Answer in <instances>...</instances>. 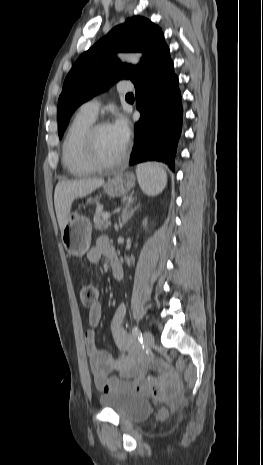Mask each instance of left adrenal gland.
Instances as JSON below:
<instances>
[{
    "label": "left adrenal gland",
    "mask_w": 263,
    "mask_h": 465,
    "mask_svg": "<svg viewBox=\"0 0 263 465\" xmlns=\"http://www.w3.org/2000/svg\"><path fill=\"white\" fill-rule=\"evenodd\" d=\"M135 201H136V198H132L126 203L125 208L123 209L122 214H121V221H120L121 227L126 224V222L132 217L133 213L139 207V205L135 206L134 208L132 207Z\"/></svg>",
    "instance_id": "obj_1"
}]
</instances>
